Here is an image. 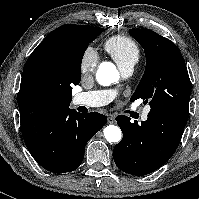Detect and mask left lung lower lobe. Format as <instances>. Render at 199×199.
<instances>
[{
    "label": "left lung lower lobe",
    "mask_w": 199,
    "mask_h": 199,
    "mask_svg": "<svg viewBox=\"0 0 199 199\" xmlns=\"http://www.w3.org/2000/svg\"><path fill=\"white\" fill-rule=\"evenodd\" d=\"M116 121L123 139L114 147L115 164L136 176L154 172L171 158L187 124V120L160 111H150L140 125L123 115Z\"/></svg>",
    "instance_id": "left-lung-lower-lobe-1"
}]
</instances>
